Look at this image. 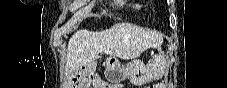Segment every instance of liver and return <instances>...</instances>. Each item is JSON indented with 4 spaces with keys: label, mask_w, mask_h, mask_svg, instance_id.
<instances>
[{
    "label": "liver",
    "mask_w": 227,
    "mask_h": 88,
    "mask_svg": "<svg viewBox=\"0 0 227 88\" xmlns=\"http://www.w3.org/2000/svg\"><path fill=\"white\" fill-rule=\"evenodd\" d=\"M161 38L155 32L130 23H118L101 32L80 30L69 40L65 58L66 74L90 65L102 52L125 60L137 58L149 48L159 47Z\"/></svg>",
    "instance_id": "liver-1"
}]
</instances>
